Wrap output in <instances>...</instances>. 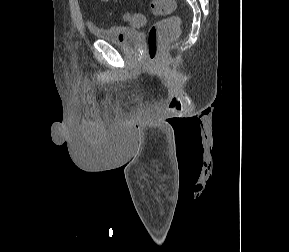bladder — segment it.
I'll return each mask as SVG.
<instances>
[{"label": "bladder", "instance_id": "obj_1", "mask_svg": "<svg viewBox=\"0 0 289 252\" xmlns=\"http://www.w3.org/2000/svg\"><path fill=\"white\" fill-rule=\"evenodd\" d=\"M90 30L95 37L121 47H133L140 41L138 30L123 26L91 27Z\"/></svg>", "mask_w": 289, "mask_h": 252}]
</instances>
